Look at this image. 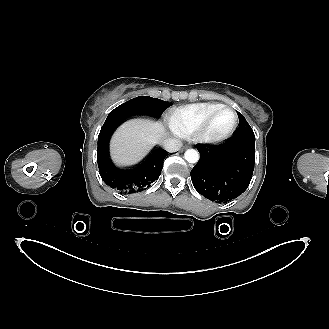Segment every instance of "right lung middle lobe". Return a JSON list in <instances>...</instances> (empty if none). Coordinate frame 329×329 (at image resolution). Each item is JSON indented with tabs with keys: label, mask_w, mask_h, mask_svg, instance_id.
<instances>
[{
	"label": "right lung middle lobe",
	"mask_w": 329,
	"mask_h": 329,
	"mask_svg": "<svg viewBox=\"0 0 329 329\" xmlns=\"http://www.w3.org/2000/svg\"><path fill=\"white\" fill-rule=\"evenodd\" d=\"M169 106V102L149 96H139L112 110L106 121H123L134 115H149L158 118Z\"/></svg>",
	"instance_id": "dd1d6c3e"
}]
</instances>
